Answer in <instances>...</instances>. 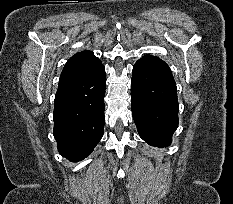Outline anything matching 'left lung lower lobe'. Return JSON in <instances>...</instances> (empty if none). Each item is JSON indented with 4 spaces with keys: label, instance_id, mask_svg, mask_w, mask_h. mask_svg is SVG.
<instances>
[{
    "label": "left lung lower lobe",
    "instance_id": "1",
    "mask_svg": "<svg viewBox=\"0 0 233 204\" xmlns=\"http://www.w3.org/2000/svg\"><path fill=\"white\" fill-rule=\"evenodd\" d=\"M131 107L141 138L155 147L168 146L178 126L177 88L168 65L146 55L133 67Z\"/></svg>",
    "mask_w": 233,
    "mask_h": 204
}]
</instances>
